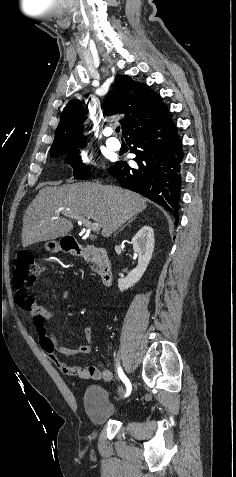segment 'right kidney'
<instances>
[{
    "instance_id": "obj_1",
    "label": "right kidney",
    "mask_w": 236,
    "mask_h": 477,
    "mask_svg": "<svg viewBox=\"0 0 236 477\" xmlns=\"http://www.w3.org/2000/svg\"><path fill=\"white\" fill-rule=\"evenodd\" d=\"M134 252L138 255V265L125 278L118 279L120 291L127 290L143 276L154 251V231L150 226H143L132 238Z\"/></svg>"
}]
</instances>
